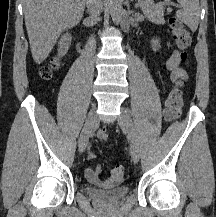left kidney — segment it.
<instances>
[{"instance_id":"obj_1","label":"left kidney","mask_w":216,"mask_h":217,"mask_svg":"<svg viewBox=\"0 0 216 217\" xmlns=\"http://www.w3.org/2000/svg\"><path fill=\"white\" fill-rule=\"evenodd\" d=\"M151 47L153 49V51H157L159 48H161L160 42L157 39H152L151 40Z\"/></svg>"}]
</instances>
